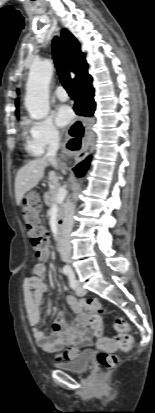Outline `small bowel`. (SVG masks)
Here are the masks:
<instances>
[{
	"label": "small bowel",
	"instance_id": "small-bowel-1",
	"mask_svg": "<svg viewBox=\"0 0 155 413\" xmlns=\"http://www.w3.org/2000/svg\"><path fill=\"white\" fill-rule=\"evenodd\" d=\"M48 258L49 253L39 260L45 262ZM44 274V264L38 263L32 267L30 275L24 281V307L28 323L32 326L33 338L43 350L59 354L63 359H73L80 353L82 347L91 342L92 336L102 334L103 320L91 315L88 311V313L84 312L85 299L67 296L66 302L77 314L76 320L68 324L64 312H60L50 333L40 329L38 325L42 323L41 305L49 291V286L42 280ZM110 341L114 344V341Z\"/></svg>",
	"mask_w": 155,
	"mask_h": 413
}]
</instances>
